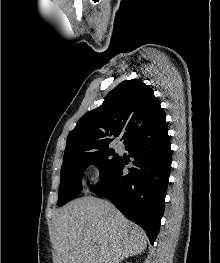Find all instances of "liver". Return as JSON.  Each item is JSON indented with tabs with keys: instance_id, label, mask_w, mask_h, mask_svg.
Wrapping results in <instances>:
<instances>
[{
	"instance_id": "6515ba94",
	"label": "liver",
	"mask_w": 220,
	"mask_h": 263,
	"mask_svg": "<svg viewBox=\"0 0 220 263\" xmlns=\"http://www.w3.org/2000/svg\"><path fill=\"white\" fill-rule=\"evenodd\" d=\"M56 263H119L141 254L147 236L111 203L83 197L54 217Z\"/></svg>"
}]
</instances>
